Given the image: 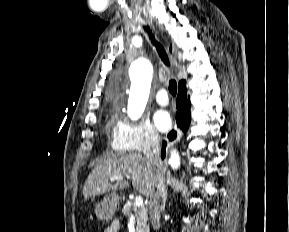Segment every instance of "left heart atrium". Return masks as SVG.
Returning <instances> with one entry per match:
<instances>
[{"instance_id": "1", "label": "left heart atrium", "mask_w": 289, "mask_h": 232, "mask_svg": "<svg viewBox=\"0 0 289 232\" xmlns=\"http://www.w3.org/2000/svg\"><path fill=\"white\" fill-rule=\"evenodd\" d=\"M154 123L158 130L165 132L171 125V116L167 111L159 110L154 114Z\"/></svg>"}]
</instances>
